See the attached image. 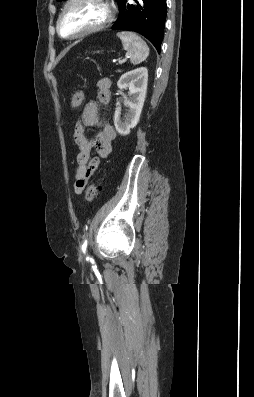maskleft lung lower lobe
<instances>
[{"instance_id":"0a47b994","label":"left lung lower lobe","mask_w":254,"mask_h":397,"mask_svg":"<svg viewBox=\"0 0 254 397\" xmlns=\"http://www.w3.org/2000/svg\"><path fill=\"white\" fill-rule=\"evenodd\" d=\"M120 12L111 29L131 30L145 36L160 53L167 13L166 0H116Z\"/></svg>"}]
</instances>
